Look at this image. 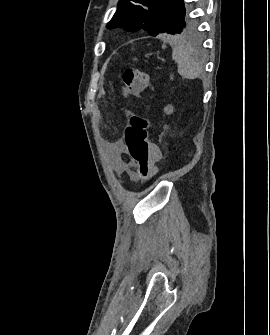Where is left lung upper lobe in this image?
<instances>
[{"label":"left lung upper lobe","mask_w":270,"mask_h":335,"mask_svg":"<svg viewBox=\"0 0 270 335\" xmlns=\"http://www.w3.org/2000/svg\"><path fill=\"white\" fill-rule=\"evenodd\" d=\"M106 27L185 36L194 32L196 24L183 0H120Z\"/></svg>","instance_id":"obj_1"}]
</instances>
